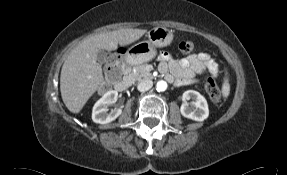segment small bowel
Returning a JSON list of instances; mask_svg holds the SVG:
<instances>
[{
	"mask_svg": "<svg viewBox=\"0 0 287 175\" xmlns=\"http://www.w3.org/2000/svg\"><path fill=\"white\" fill-rule=\"evenodd\" d=\"M158 59L160 61L159 70L166 73V79L168 81L175 80L179 86L195 82V75L202 73L204 69H208L214 75L218 73V64L206 52L175 59L169 52L162 51Z\"/></svg>",
	"mask_w": 287,
	"mask_h": 175,
	"instance_id": "c3829d8e",
	"label": "small bowel"
}]
</instances>
